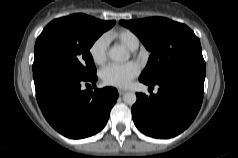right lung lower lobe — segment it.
Here are the masks:
<instances>
[{"label":"right lung lower lobe","instance_id":"1","mask_svg":"<svg viewBox=\"0 0 238 158\" xmlns=\"http://www.w3.org/2000/svg\"><path fill=\"white\" fill-rule=\"evenodd\" d=\"M32 69L38 104L54 129L80 139L104 128L118 98L115 88L84 90L82 85L94 84L96 76L85 78L52 62L33 65Z\"/></svg>","mask_w":238,"mask_h":158}]
</instances>
